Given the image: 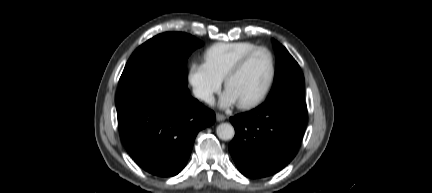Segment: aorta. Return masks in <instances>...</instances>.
Returning <instances> with one entry per match:
<instances>
[{"label": "aorta", "instance_id": "obj_1", "mask_svg": "<svg viewBox=\"0 0 432 193\" xmlns=\"http://www.w3.org/2000/svg\"><path fill=\"white\" fill-rule=\"evenodd\" d=\"M217 136L224 141L231 140L235 135L234 127L229 123H221L216 128Z\"/></svg>", "mask_w": 432, "mask_h": 193}]
</instances>
